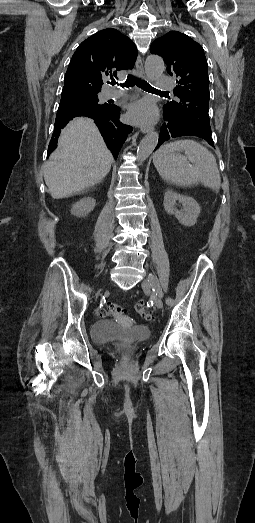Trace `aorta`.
<instances>
[{
    "mask_svg": "<svg viewBox=\"0 0 255 523\" xmlns=\"http://www.w3.org/2000/svg\"><path fill=\"white\" fill-rule=\"evenodd\" d=\"M165 70V64L161 57L157 55H150L145 62V73L147 77L154 81ZM158 132L152 131L148 133L140 142L137 149V160L139 162L145 161L155 149L158 143Z\"/></svg>",
    "mask_w": 255,
    "mask_h": 523,
    "instance_id": "aorta-1",
    "label": "aorta"
}]
</instances>
